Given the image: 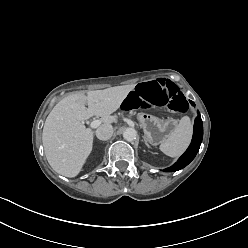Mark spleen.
I'll return each mask as SVG.
<instances>
[{"mask_svg": "<svg viewBox=\"0 0 248 248\" xmlns=\"http://www.w3.org/2000/svg\"><path fill=\"white\" fill-rule=\"evenodd\" d=\"M192 137V124L188 116L180 119L169 137L160 145V150L170 157H178L184 153Z\"/></svg>", "mask_w": 248, "mask_h": 248, "instance_id": "obj_1", "label": "spleen"}]
</instances>
